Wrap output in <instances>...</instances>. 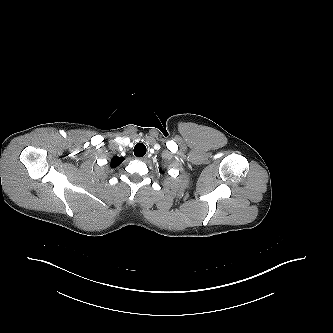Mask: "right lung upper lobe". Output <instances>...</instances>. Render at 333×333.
Returning <instances> with one entry per match:
<instances>
[{"label": "right lung upper lobe", "instance_id": "obj_1", "mask_svg": "<svg viewBox=\"0 0 333 333\" xmlns=\"http://www.w3.org/2000/svg\"><path fill=\"white\" fill-rule=\"evenodd\" d=\"M124 161V158L123 157H113L111 162H110V166L112 168H116L117 166H119L122 162Z\"/></svg>", "mask_w": 333, "mask_h": 333}]
</instances>
